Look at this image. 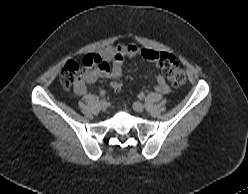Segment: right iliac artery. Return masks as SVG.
Returning <instances> with one entry per match:
<instances>
[{
    "label": "right iliac artery",
    "instance_id": "right-iliac-artery-1",
    "mask_svg": "<svg viewBox=\"0 0 248 194\" xmlns=\"http://www.w3.org/2000/svg\"><path fill=\"white\" fill-rule=\"evenodd\" d=\"M102 96H104V93L102 94ZM104 99H102L101 101H103Z\"/></svg>",
    "mask_w": 248,
    "mask_h": 194
}]
</instances>
